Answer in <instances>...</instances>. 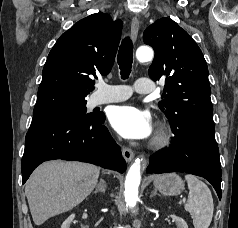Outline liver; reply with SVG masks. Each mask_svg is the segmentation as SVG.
Segmentation results:
<instances>
[{"mask_svg":"<svg viewBox=\"0 0 238 228\" xmlns=\"http://www.w3.org/2000/svg\"><path fill=\"white\" fill-rule=\"evenodd\" d=\"M100 169L80 162L49 161L37 167L25 186L35 225L69 211L95 188Z\"/></svg>","mask_w":238,"mask_h":228,"instance_id":"obj_1","label":"liver"}]
</instances>
